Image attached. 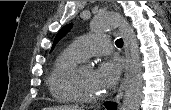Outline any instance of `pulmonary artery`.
Returning a JSON list of instances; mask_svg holds the SVG:
<instances>
[{
    "label": "pulmonary artery",
    "instance_id": "obj_1",
    "mask_svg": "<svg viewBox=\"0 0 171 110\" xmlns=\"http://www.w3.org/2000/svg\"><path fill=\"white\" fill-rule=\"evenodd\" d=\"M72 46L85 58L90 55H105L111 50V42L108 36L102 34H90L74 40Z\"/></svg>",
    "mask_w": 171,
    "mask_h": 110
}]
</instances>
